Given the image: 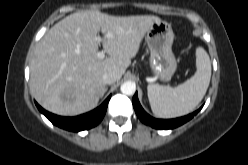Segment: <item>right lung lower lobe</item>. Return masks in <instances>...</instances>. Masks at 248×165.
I'll list each match as a JSON object with an SVG mask.
<instances>
[{"instance_id":"1","label":"right lung lower lobe","mask_w":248,"mask_h":165,"mask_svg":"<svg viewBox=\"0 0 248 165\" xmlns=\"http://www.w3.org/2000/svg\"><path fill=\"white\" fill-rule=\"evenodd\" d=\"M109 96L98 108L95 110L88 112L86 114L76 116V117H61L54 115L52 113L47 112L43 108H41L37 103L39 111L44 114L54 125L69 130V131H82L90 129L96 125H98L103 119L106 109L108 106V102L110 100Z\"/></svg>"}]
</instances>
